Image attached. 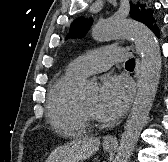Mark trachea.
I'll use <instances>...</instances> for the list:
<instances>
[{"mask_svg": "<svg viewBox=\"0 0 168 162\" xmlns=\"http://www.w3.org/2000/svg\"><path fill=\"white\" fill-rule=\"evenodd\" d=\"M125 66L127 68H134L135 67V60L134 59H130L125 63Z\"/></svg>", "mask_w": 168, "mask_h": 162, "instance_id": "trachea-1", "label": "trachea"}]
</instances>
